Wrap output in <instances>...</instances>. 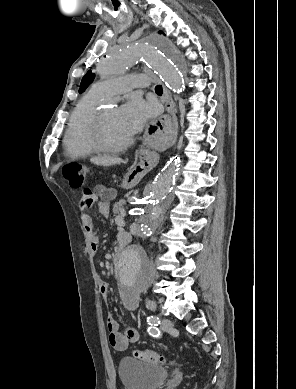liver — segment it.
<instances>
[{
    "label": "liver",
    "mask_w": 296,
    "mask_h": 389,
    "mask_svg": "<svg viewBox=\"0 0 296 389\" xmlns=\"http://www.w3.org/2000/svg\"><path fill=\"white\" fill-rule=\"evenodd\" d=\"M90 161L96 165L100 166H111V165H116L120 164L123 162L122 159L117 158V157H109V156H97V157H92Z\"/></svg>",
    "instance_id": "6515ba94"
}]
</instances>
